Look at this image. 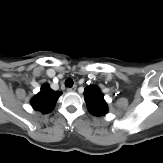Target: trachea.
<instances>
[{"mask_svg":"<svg viewBox=\"0 0 163 163\" xmlns=\"http://www.w3.org/2000/svg\"><path fill=\"white\" fill-rule=\"evenodd\" d=\"M74 84L73 80L71 78H67L66 81H65V86L66 87H72Z\"/></svg>","mask_w":163,"mask_h":163,"instance_id":"obj_1","label":"trachea"}]
</instances>
